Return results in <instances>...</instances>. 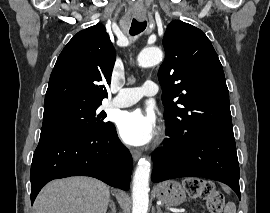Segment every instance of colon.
Listing matches in <instances>:
<instances>
[{"label": "colon", "mask_w": 270, "mask_h": 213, "mask_svg": "<svg viewBox=\"0 0 270 213\" xmlns=\"http://www.w3.org/2000/svg\"><path fill=\"white\" fill-rule=\"evenodd\" d=\"M185 190L190 197L205 201L208 213H221L225 205L222 191L215 188L209 180L190 178L184 183Z\"/></svg>", "instance_id": "1"}]
</instances>
